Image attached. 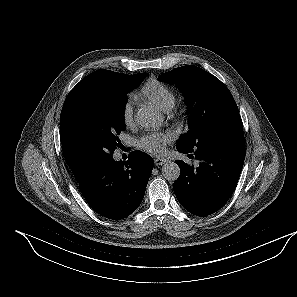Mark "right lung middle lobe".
Wrapping results in <instances>:
<instances>
[{"label":"right lung middle lobe","instance_id":"right-lung-middle-lobe-1","mask_svg":"<svg viewBox=\"0 0 297 297\" xmlns=\"http://www.w3.org/2000/svg\"><path fill=\"white\" fill-rule=\"evenodd\" d=\"M146 73L124 75L110 88L88 92L63 106L60 116L62 149L65 158L78 170L112 157L122 144L118 135L125 130L127 94Z\"/></svg>","mask_w":297,"mask_h":297}]
</instances>
